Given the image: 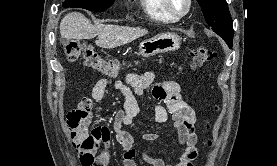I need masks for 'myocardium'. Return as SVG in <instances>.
I'll return each instance as SVG.
<instances>
[{
    "instance_id": "1",
    "label": "myocardium",
    "mask_w": 277,
    "mask_h": 166,
    "mask_svg": "<svg viewBox=\"0 0 277 166\" xmlns=\"http://www.w3.org/2000/svg\"><path fill=\"white\" fill-rule=\"evenodd\" d=\"M187 6L186 9L183 12H176L170 4V0H162V5L166 12L171 15L175 19H180L185 17L191 10L193 1L192 0H186Z\"/></svg>"
}]
</instances>
